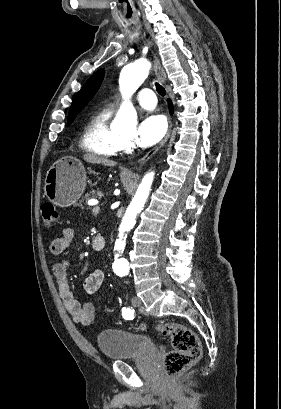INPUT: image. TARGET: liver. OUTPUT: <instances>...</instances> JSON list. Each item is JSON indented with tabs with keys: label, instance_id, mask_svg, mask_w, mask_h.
Wrapping results in <instances>:
<instances>
[{
	"label": "liver",
	"instance_id": "1",
	"mask_svg": "<svg viewBox=\"0 0 281 409\" xmlns=\"http://www.w3.org/2000/svg\"><path fill=\"white\" fill-rule=\"evenodd\" d=\"M84 160L87 162H93V164H105V166H115L117 162L110 160L107 156H101V154H83Z\"/></svg>",
	"mask_w": 281,
	"mask_h": 409
}]
</instances>
